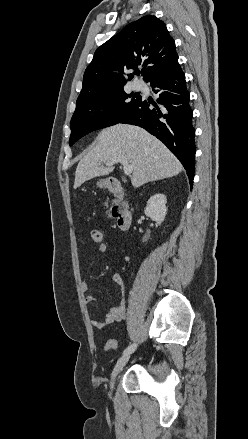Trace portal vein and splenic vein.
I'll use <instances>...</instances> for the list:
<instances>
[{"mask_svg":"<svg viewBox=\"0 0 248 439\" xmlns=\"http://www.w3.org/2000/svg\"><path fill=\"white\" fill-rule=\"evenodd\" d=\"M115 163H121L123 165V169H124V174L125 175H130L133 171V166L130 165L125 159L122 158H117V159H113L110 160L106 163L107 166H112Z\"/></svg>","mask_w":248,"mask_h":439,"instance_id":"obj_1","label":"portal vein and splenic vein"}]
</instances>
